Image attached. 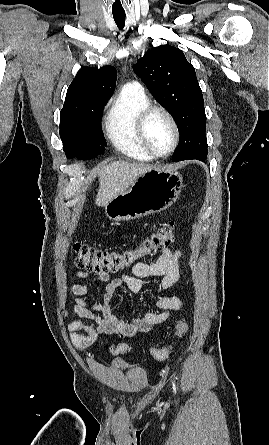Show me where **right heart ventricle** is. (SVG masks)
I'll return each mask as SVG.
<instances>
[{
	"mask_svg": "<svg viewBox=\"0 0 269 445\" xmlns=\"http://www.w3.org/2000/svg\"><path fill=\"white\" fill-rule=\"evenodd\" d=\"M150 105L147 95L124 86L112 102L105 117V131L114 148L132 159L148 162L154 159L140 144L136 124L140 112Z\"/></svg>",
	"mask_w": 269,
	"mask_h": 445,
	"instance_id": "obj_1",
	"label": "right heart ventricle"
}]
</instances>
